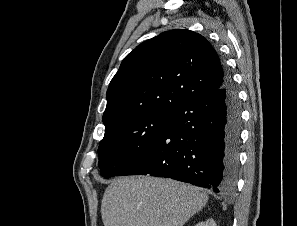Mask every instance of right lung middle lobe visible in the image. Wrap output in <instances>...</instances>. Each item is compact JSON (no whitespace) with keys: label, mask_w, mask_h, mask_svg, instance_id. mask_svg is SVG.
Here are the masks:
<instances>
[{"label":"right lung middle lobe","mask_w":297,"mask_h":226,"mask_svg":"<svg viewBox=\"0 0 297 226\" xmlns=\"http://www.w3.org/2000/svg\"><path fill=\"white\" fill-rule=\"evenodd\" d=\"M174 111L137 114L105 127L98 148L99 167L105 178L116 175L142 153L172 122Z\"/></svg>","instance_id":"dd1d6c3e"}]
</instances>
